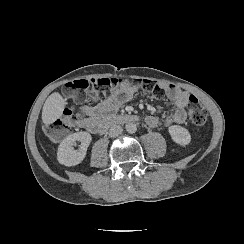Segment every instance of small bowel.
Masks as SVG:
<instances>
[{"instance_id": "small-bowel-1", "label": "small bowel", "mask_w": 244, "mask_h": 244, "mask_svg": "<svg viewBox=\"0 0 244 244\" xmlns=\"http://www.w3.org/2000/svg\"><path fill=\"white\" fill-rule=\"evenodd\" d=\"M163 89L168 99L173 103V107L162 117L157 115L147 116L146 123L151 127H157L161 123L165 127L183 124L187 118L186 107L190 103V96L193 95L174 85L165 84ZM138 90L139 87L136 84L124 83L115 87L110 96L99 104L95 106H80L79 110L82 116L77 120L78 127L94 134H99L98 129L102 125L104 118L116 112L124 103L132 100Z\"/></svg>"}]
</instances>
